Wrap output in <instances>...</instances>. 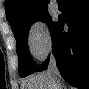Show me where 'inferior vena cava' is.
Wrapping results in <instances>:
<instances>
[{"instance_id": "obj_1", "label": "inferior vena cava", "mask_w": 89, "mask_h": 89, "mask_svg": "<svg viewBox=\"0 0 89 89\" xmlns=\"http://www.w3.org/2000/svg\"><path fill=\"white\" fill-rule=\"evenodd\" d=\"M48 72L50 74H53L55 76H59V71L56 65V60L54 56H51L49 66H48Z\"/></svg>"}]
</instances>
